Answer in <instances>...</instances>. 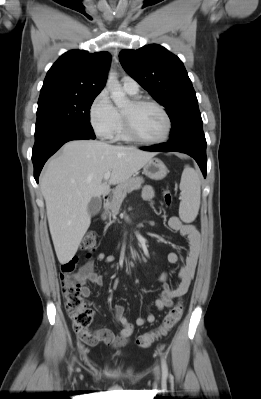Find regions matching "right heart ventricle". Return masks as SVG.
Instances as JSON below:
<instances>
[{
  "instance_id": "obj_1",
  "label": "right heart ventricle",
  "mask_w": 261,
  "mask_h": 399,
  "mask_svg": "<svg viewBox=\"0 0 261 399\" xmlns=\"http://www.w3.org/2000/svg\"><path fill=\"white\" fill-rule=\"evenodd\" d=\"M115 136H116V138L121 139V140H128V137L125 135V132H124V129H123V123H122L121 115H120L119 127L117 129V132H116Z\"/></svg>"
}]
</instances>
